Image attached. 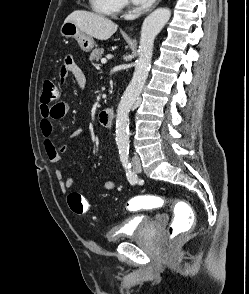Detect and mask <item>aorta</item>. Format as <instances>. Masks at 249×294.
<instances>
[{
    "label": "aorta",
    "instance_id": "obj_1",
    "mask_svg": "<svg viewBox=\"0 0 249 294\" xmlns=\"http://www.w3.org/2000/svg\"><path fill=\"white\" fill-rule=\"evenodd\" d=\"M170 17L171 11L168 8H159L152 12L143 22L138 50L139 57L135 63L133 77L117 108L116 143L118 147L129 146V112L140 96L148 77L154 40Z\"/></svg>",
    "mask_w": 249,
    "mask_h": 294
}]
</instances>
